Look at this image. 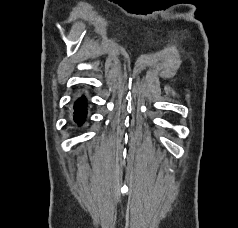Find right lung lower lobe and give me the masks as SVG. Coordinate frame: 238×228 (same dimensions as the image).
Instances as JSON below:
<instances>
[{"label":"right lung lower lobe","mask_w":238,"mask_h":228,"mask_svg":"<svg viewBox=\"0 0 238 228\" xmlns=\"http://www.w3.org/2000/svg\"><path fill=\"white\" fill-rule=\"evenodd\" d=\"M86 117V100L82 96L74 104V121L82 124Z\"/></svg>","instance_id":"98d812e1"}]
</instances>
